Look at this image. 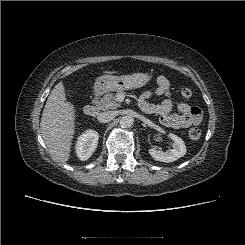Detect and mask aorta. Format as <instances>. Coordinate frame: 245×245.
Listing matches in <instances>:
<instances>
[{
  "instance_id": "762f6f07",
  "label": "aorta",
  "mask_w": 245,
  "mask_h": 245,
  "mask_svg": "<svg viewBox=\"0 0 245 245\" xmlns=\"http://www.w3.org/2000/svg\"><path fill=\"white\" fill-rule=\"evenodd\" d=\"M120 125L123 128H129L133 125L134 119L131 116H124L120 119Z\"/></svg>"
}]
</instances>
